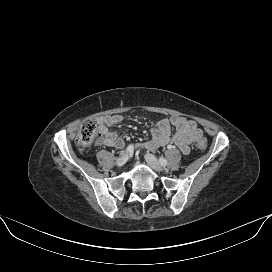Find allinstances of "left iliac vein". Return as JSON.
I'll return each mask as SVG.
<instances>
[{
  "mask_svg": "<svg viewBox=\"0 0 272 272\" xmlns=\"http://www.w3.org/2000/svg\"><path fill=\"white\" fill-rule=\"evenodd\" d=\"M145 160L149 164V166L155 171L161 172L164 170L163 166L158 162L156 157L152 154H146Z\"/></svg>",
  "mask_w": 272,
  "mask_h": 272,
  "instance_id": "4c4485c4",
  "label": "left iliac vein"
}]
</instances>
